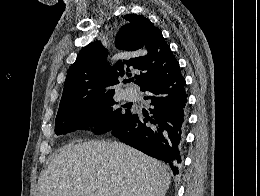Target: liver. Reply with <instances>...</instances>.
<instances>
[{"label": "liver", "mask_w": 260, "mask_h": 196, "mask_svg": "<svg viewBox=\"0 0 260 196\" xmlns=\"http://www.w3.org/2000/svg\"><path fill=\"white\" fill-rule=\"evenodd\" d=\"M170 184L162 162L126 144L83 142L52 158L37 196H165Z\"/></svg>", "instance_id": "liver-1"}]
</instances>
